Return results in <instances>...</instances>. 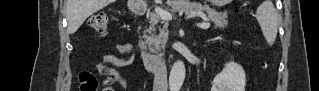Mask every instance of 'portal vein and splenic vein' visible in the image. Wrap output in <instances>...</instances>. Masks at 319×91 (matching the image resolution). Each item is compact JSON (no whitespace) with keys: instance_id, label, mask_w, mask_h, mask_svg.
Listing matches in <instances>:
<instances>
[{"instance_id":"18ae733b","label":"portal vein and splenic vein","mask_w":319,"mask_h":91,"mask_svg":"<svg viewBox=\"0 0 319 91\" xmlns=\"http://www.w3.org/2000/svg\"><path fill=\"white\" fill-rule=\"evenodd\" d=\"M155 12L160 16L161 19H163L165 21L172 20V15L168 11L161 9L160 7L156 6ZM197 26L202 28V29H208L210 27V23H208V22L199 23V24H197Z\"/></svg>"}]
</instances>
